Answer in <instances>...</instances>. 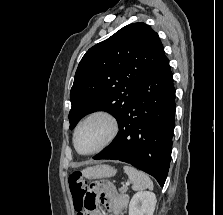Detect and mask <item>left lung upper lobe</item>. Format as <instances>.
Wrapping results in <instances>:
<instances>
[{"label":"left lung upper lobe","mask_w":223,"mask_h":215,"mask_svg":"<svg viewBox=\"0 0 223 215\" xmlns=\"http://www.w3.org/2000/svg\"><path fill=\"white\" fill-rule=\"evenodd\" d=\"M165 59L158 34L143 22L129 24L91 47L70 91V129L97 110L109 111L119 124L136 93Z\"/></svg>","instance_id":"5c2ea615"}]
</instances>
